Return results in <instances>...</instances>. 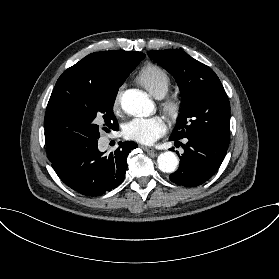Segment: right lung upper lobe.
I'll return each instance as SVG.
<instances>
[{
  "label": "right lung upper lobe",
  "instance_id": "obj_1",
  "mask_svg": "<svg viewBox=\"0 0 279 279\" xmlns=\"http://www.w3.org/2000/svg\"><path fill=\"white\" fill-rule=\"evenodd\" d=\"M145 54L136 51H104L89 54L68 68L59 77L52 93L67 84L97 83L123 78L144 59Z\"/></svg>",
  "mask_w": 279,
  "mask_h": 279
}]
</instances>
